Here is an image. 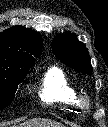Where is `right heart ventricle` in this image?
<instances>
[{"label":"right heart ventricle","mask_w":108,"mask_h":127,"mask_svg":"<svg viewBox=\"0 0 108 127\" xmlns=\"http://www.w3.org/2000/svg\"><path fill=\"white\" fill-rule=\"evenodd\" d=\"M39 98L44 105L71 107L78 104L77 91L66 74L57 66L50 67L41 80Z\"/></svg>","instance_id":"1"}]
</instances>
